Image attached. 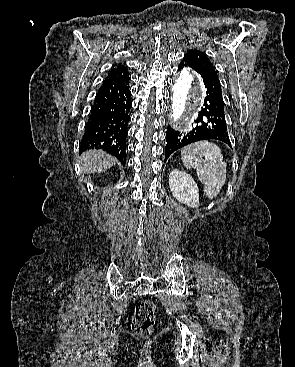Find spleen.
<instances>
[{
	"label": "spleen",
	"mask_w": 295,
	"mask_h": 367,
	"mask_svg": "<svg viewBox=\"0 0 295 367\" xmlns=\"http://www.w3.org/2000/svg\"><path fill=\"white\" fill-rule=\"evenodd\" d=\"M181 160L185 168L196 170L206 197L216 198L225 184L227 168L219 147L208 141L190 144L181 150Z\"/></svg>",
	"instance_id": "1"
}]
</instances>
